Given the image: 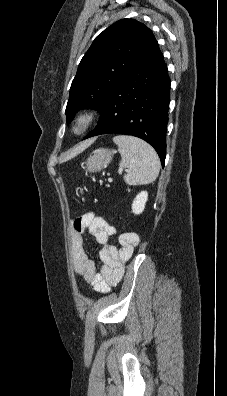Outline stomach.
<instances>
[{
  "label": "stomach",
  "mask_w": 227,
  "mask_h": 396,
  "mask_svg": "<svg viewBox=\"0 0 227 396\" xmlns=\"http://www.w3.org/2000/svg\"><path fill=\"white\" fill-rule=\"evenodd\" d=\"M113 154L114 152L104 148L95 150L93 155H90L87 160V171L97 172L103 168H106L111 162Z\"/></svg>",
  "instance_id": "obj_1"
}]
</instances>
